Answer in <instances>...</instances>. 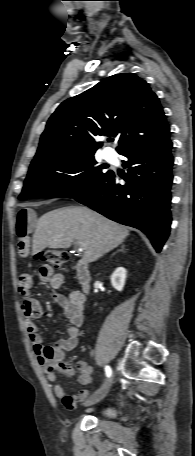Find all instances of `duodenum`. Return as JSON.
Segmentation results:
<instances>
[{
  "label": "duodenum",
  "mask_w": 195,
  "mask_h": 456,
  "mask_svg": "<svg viewBox=\"0 0 195 456\" xmlns=\"http://www.w3.org/2000/svg\"><path fill=\"white\" fill-rule=\"evenodd\" d=\"M76 279L81 285L83 293H88L90 291L91 284V273L89 270L88 263L81 259L77 262L75 267Z\"/></svg>",
  "instance_id": "obj_1"
}]
</instances>
